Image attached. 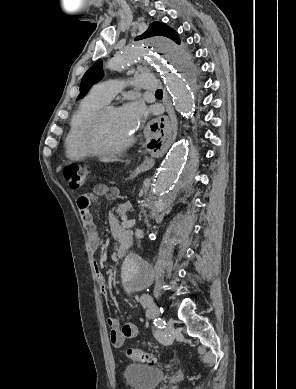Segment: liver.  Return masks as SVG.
Here are the masks:
<instances>
[{"mask_svg": "<svg viewBox=\"0 0 296 389\" xmlns=\"http://www.w3.org/2000/svg\"><path fill=\"white\" fill-rule=\"evenodd\" d=\"M103 161L108 162V161H111V160H103Z\"/></svg>", "mask_w": 296, "mask_h": 389, "instance_id": "liver-1", "label": "liver"}]
</instances>
